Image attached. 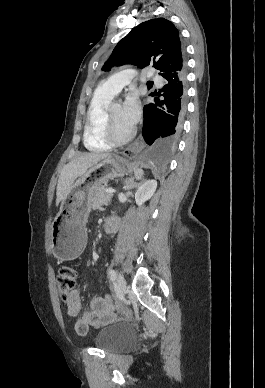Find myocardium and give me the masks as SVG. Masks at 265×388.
<instances>
[{
    "mask_svg": "<svg viewBox=\"0 0 265 388\" xmlns=\"http://www.w3.org/2000/svg\"><path fill=\"white\" fill-rule=\"evenodd\" d=\"M100 90L116 91L117 94L120 92V90H105V88L99 89L98 91H100ZM130 91H133V90H130ZM111 106L112 105H109L105 109L103 116H102V119H101L100 130H101L102 137L106 141H108L109 143H112V144H117V145L124 144L134 137L136 131L134 128H131L130 130H128L127 132L122 133V134L116 132L111 124V119H110Z\"/></svg>",
    "mask_w": 265,
    "mask_h": 388,
    "instance_id": "obj_1",
    "label": "myocardium"
}]
</instances>
